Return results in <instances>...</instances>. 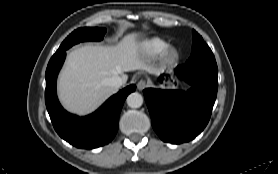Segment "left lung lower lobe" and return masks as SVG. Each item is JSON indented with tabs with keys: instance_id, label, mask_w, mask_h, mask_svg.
<instances>
[{
	"instance_id": "0a47b994",
	"label": "left lung lower lobe",
	"mask_w": 278,
	"mask_h": 174,
	"mask_svg": "<svg viewBox=\"0 0 278 174\" xmlns=\"http://www.w3.org/2000/svg\"><path fill=\"white\" fill-rule=\"evenodd\" d=\"M175 74L191 86L187 92L148 88L143 93L155 132L164 142L179 144L194 139L207 125L217 95L218 70L190 63L178 66Z\"/></svg>"
}]
</instances>
